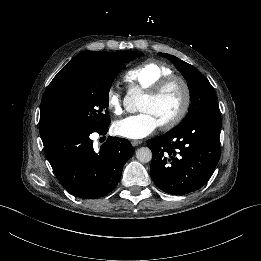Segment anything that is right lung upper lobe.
<instances>
[{"label": "right lung upper lobe", "instance_id": "right-lung-upper-lobe-1", "mask_svg": "<svg viewBox=\"0 0 261 261\" xmlns=\"http://www.w3.org/2000/svg\"><path fill=\"white\" fill-rule=\"evenodd\" d=\"M126 53L124 51L84 52L67 63L44 92L40 110V132L52 134L56 138L70 132L71 116L63 86L74 70L89 64L120 63Z\"/></svg>", "mask_w": 261, "mask_h": 261}]
</instances>
